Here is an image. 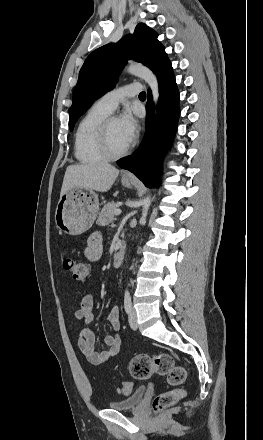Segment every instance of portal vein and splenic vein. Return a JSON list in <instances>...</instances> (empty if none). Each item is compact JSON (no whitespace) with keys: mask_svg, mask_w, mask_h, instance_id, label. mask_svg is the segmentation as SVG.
I'll return each instance as SVG.
<instances>
[{"mask_svg":"<svg viewBox=\"0 0 263 440\" xmlns=\"http://www.w3.org/2000/svg\"><path fill=\"white\" fill-rule=\"evenodd\" d=\"M114 214L115 215H120L121 214V210L117 209Z\"/></svg>","mask_w":263,"mask_h":440,"instance_id":"18ae733b","label":"portal vein and splenic vein"}]
</instances>
